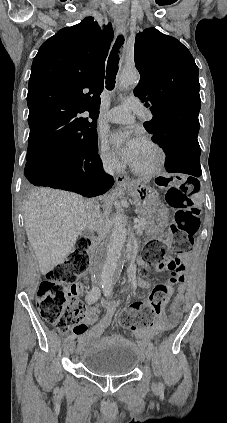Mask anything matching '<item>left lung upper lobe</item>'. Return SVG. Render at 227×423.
I'll return each instance as SVG.
<instances>
[{"label":"left lung upper lobe","mask_w":227,"mask_h":423,"mask_svg":"<svg viewBox=\"0 0 227 423\" xmlns=\"http://www.w3.org/2000/svg\"><path fill=\"white\" fill-rule=\"evenodd\" d=\"M134 58L140 72L134 95L152 110L153 119L144 127L153 139L199 125V71L189 50L174 37L148 28L136 36Z\"/></svg>","instance_id":"obj_1"}]
</instances>
